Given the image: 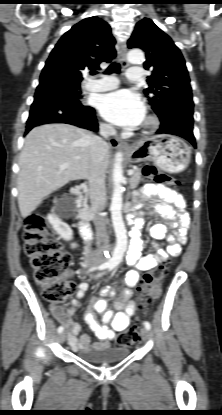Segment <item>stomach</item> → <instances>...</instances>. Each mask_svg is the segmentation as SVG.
Here are the masks:
<instances>
[{"label": "stomach", "instance_id": "obj_1", "mask_svg": "<svg viewBox=\"0 0 222 415\" xmlns=\"http://www.w3.org/2000/svg\"><path fill=\"white\" fill-rule=\"evenodd\" d=\"M129 156L135 162L153 161L166 172L179 173L188 167L191 149L179 137L158 135L137 142L132 146Z\"/></svg>", "mask_w": 222, "mask_h": 415}]
</instances>
